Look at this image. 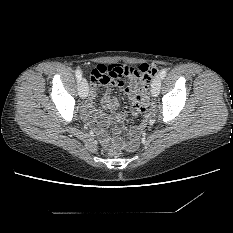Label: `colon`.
I'll list each match as a JSON object with an SVG mask.
<instances>
[{
  "mask_svg": "<svg viewBox=\"0 0 233 233\" xmlns=\"http://www.w3.org/2000/svg\"><path fill=\"white\" fill-rule=\"evenodd\" d=\"M123 67L122 77L138 78L140 81L147 83L151 82L157 73V67L152 64L145 63L136 67L123 65ZM91 78L95 82L106 83L109 81L110 76L105 68L98 66L92 70ZM137 99L139 102L145 103L148 97L144 93H139ZM125 152L126 149L120 145H112L107 149V153L114 156L124 154Z\"/></svg>",
  "mask_w": 233,
  "mask_h": 233,
  "instance_id": "1",
  "label": "colon"
}]
</instances>
